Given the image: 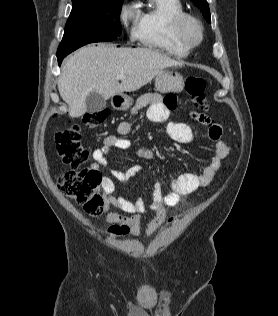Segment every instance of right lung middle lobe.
Instances as JSON below:
<instances>
[{"label":"right lung middle lobe","instance_id":"right-lung-middle-lobe-1","mask_svg":"<svg viewBox=\"0 0 278 316\" xmlns=\"http://www.w3.org/2000/svg\"><path fill=\"white\" fill-rule=\"evenodd\" d=\"M124 0H72L57 57L93 42L112 41L121 35L120 11Z\"/></svg>","mask_w":278,"mask_h":316}]
</instances>
